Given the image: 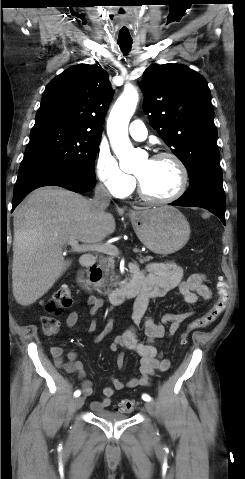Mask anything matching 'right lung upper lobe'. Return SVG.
<instances>
[{"mask_svg":"<svg viewBox=\"0 0 245 479\" xmlns=\"http://www.w3.org/2000/svg\"><path fill=\"white\" fill-rule=\"evenodd\" d=\"M111 97L106 71L96 65L73 66L47 85L33 128L59 126L101 136Z\"/></svg>","mask_w":245,"mask_h":479,"instance_id":"right-lung-upper-lobe-1","label":"right lung upper lobe"}]
</instances>
